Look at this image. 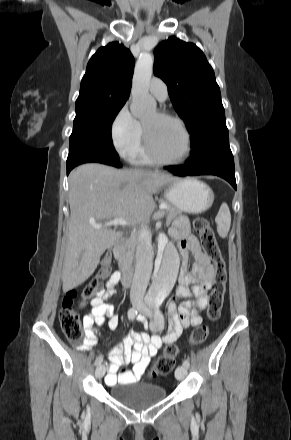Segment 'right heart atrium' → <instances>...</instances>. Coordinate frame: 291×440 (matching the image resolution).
I'll list each match as a JSON object with an SVG mask.
<instances>
[{"label": "right heart atrium", "instance_id": "1", "mask_svg": "<svg viewBox=\"0 0 291 440\" xmlns=\"http://www.w3.org/2000/svg\"><path fill=\"white\" fill-rule=\"evenodd\" d=\"M141 123L131 114L128 105L121 107L111 125V139L115 150L130 158L139 148L142 139Z\"/></svg>", "mask_w": 291, "mask_h": 440}]
</instances>
